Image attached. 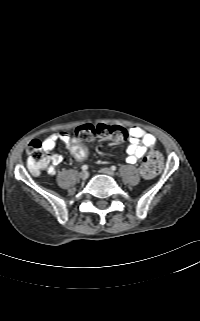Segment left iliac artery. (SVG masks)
Returning <instances> with one entry per match:
<instances>
[{
	"instance_id": "left-iliac-artery-1",
	"label": "left iliac artery",
	"mask_w": 200,
	"mask_h": 321,
	"mask_svg": "<svg viewBox=\"0 0 200 321\" xmlns=\"http://www.w3.org/2000/svg\"><path fill=\"white\" fill-rule=\"evenodd\" d=\"M111 169H112L113 171H115V170H116V166H111Z\"/></svg>"
}]
</instances>
